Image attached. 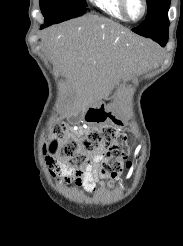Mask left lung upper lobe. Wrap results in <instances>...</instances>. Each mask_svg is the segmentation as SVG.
Masks as SVG:
<instances>
[{"instance_id":"1","label":"left lung upper lobe","mask_w":183,"mask_h":246,"mask_svg":"<svg viewBox=\"0 0 183 246\" xmlns=\"http://www.w3.org/2000/svg\"><path fill=\"white\" fill-rule=\"evenodd\" d=\"M170 1L146 0L148 8L146 19L132 31L148 38L168 33Z\"/></svg>"}]
</instances>
